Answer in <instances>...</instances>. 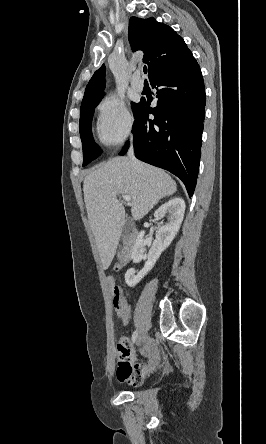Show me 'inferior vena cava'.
<instances>
[{
	"mask_svg": "<svg viewBox=\"0 0 266 444\" xmlns=\"http://www.w3.org/2000/svg\"><path fill=\"white\" fill-rule=\"evenodd\" d=\"M132 141V140H131ZM128 157L130 160L135 161V157H134V151H133V145L131 144L129 150H128Z\"/></svg>",
	"mask_w": 266,
	"mask_h": 444,
	"instance_id": "obj_1",
	"label": "inferior vena cava"
}]
</instances>
